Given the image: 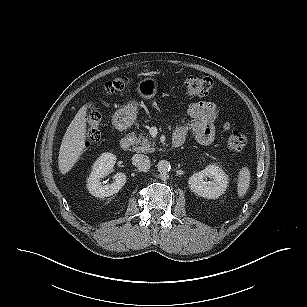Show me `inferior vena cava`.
Wrapping results in <instances>:
<instances>
[{"instance_id":"1","label":"inferior vena cava","mask_w":307,"mask_h":307,"mask_svg":"<svg viewBox=\"0 0 307 307\" xmlns=\"http://www.w3.org/2000/svg\"><path fill=\"white\" fill-rule=\"evenodd\" d=\"M132 163L141 171H148L150 169V159L144 154L133 155Z\"/></svg>"}]
</instances>
